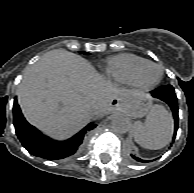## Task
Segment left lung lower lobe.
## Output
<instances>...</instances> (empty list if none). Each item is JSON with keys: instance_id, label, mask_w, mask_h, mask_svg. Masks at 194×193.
Listing matches in <instances>:
<instances>
[{"instance_id": "left-lung-lower-lobe-1", "label": "left lung lower lobe", "mask_w": 194, "mask_h": 193, "mask_svg": "<svg viewBox=\"0 0 194 193\" xmlns=\"http://www.w3.org/2000/svg\"><path fill=\"white\" fill-rule=\"evenodd\" d=\"M153 97H156L160 100H163L164 102H166L173 113L174 116V122H175V128H174V137L176 136V132L178 130V106H177V97L174 91V88L171 85H165L157 90H154L151 92ZM132 158H134L137 161H141L143 163H146L148 161L146 160H142L138 157H136L135 155H131Z\"/></svg>"}]
</instances>
